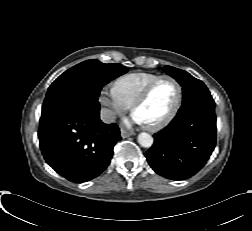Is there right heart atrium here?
<instances>
[{
  "label": "right heart atrium",
  "mask_w": 252,
  "mask_h": 231,
  "mask_svg": "<svg viewBox=\"0 0 252 231\" xmlns=\"http://www.w3.org/2000/svg\"><path fill=\"white\" fill-rule=\"evenodd\" d=\"M98 100L102 106V118L106 122H113L116 118L123 117L131 107L118 95L114 86L102 89Z\"/></svg>",
  "instance_id": "d8ad5b80"
}]
</instances>
